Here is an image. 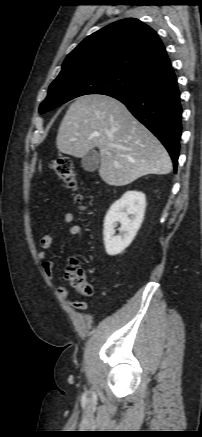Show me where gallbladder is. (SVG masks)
<instances>
[{"label": "gallbladder", "instance_id": "1", "mask_svg": "<svg viewBox=\"0 0 202 437\" xmlns=\"http://www.w3.org/2000/svg\"><path fill=\"white\" fill-rule=\"evenodd\" d=\"M81 164L86 171H95L99 166L98 153L94 150H90L84 157H82Z\"/></svg>", "mask_w": 202, "mask_h": 437}]
</instances>
